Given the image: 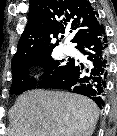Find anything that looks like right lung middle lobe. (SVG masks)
I'll return each instance as SVG.
<instances>
[{
    "mask_svg": "<svg viewBox=\"0 0 117 136\" xmlns=\"http://www.w3.org/2000/svg\"><path fill=\"white\" fill-rule=\"evenodd\" d=\"M62 62L63 60H54L51 55H49L18 66L17 68L12 70L13 81L10 88V93L21 94L22 92L30 89L33 86L35 79L27 78L28 68H30L32 65H37L45 68L44 75L42 76V81L40 82V84H42L53 77L55 74H57L66 65V63Z\"/></svg>",
    "mask_w": 117,
    "mask_h": 136,
    "instance_id": "obj_1",
    "label": "right lung middle lobe"
}]
</instances>
